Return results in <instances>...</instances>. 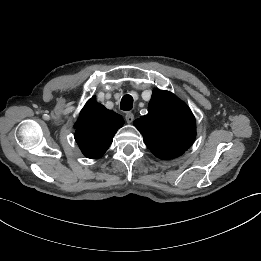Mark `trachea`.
<instances>
[{"label":"trachea","instance_id":"obj_1","mask_svg":"<svg viewBox=\"0 0 261 261\" xmlns=\"http://www.w3.org/2000/svg\"><path fill=\"white\" fill-rule=\"evenodd\" d=\"M133 97L131 95H124L121 99L120 109L123 111H130L132 109Z\"/></svg>","mask_w":261,"mask_h":261}]
</instances>
